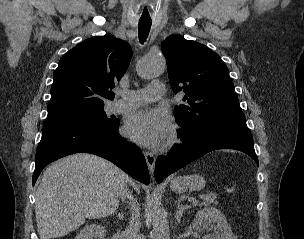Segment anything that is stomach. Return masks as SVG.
Wrapping results in <instances>:
<instances>
[{"label": "stomach", "mask_w": 304, "mask_h": 239, "mask_svg": "<svg viewBox=\"0 0 304 239\" xmlns=\"http://www.w3.org/2000/svg\"><path fill=\"white\" fill-rule=\"evenodd\" d=\"M205 179L198 175H185L177 176L171 181V188L176 193H183L186 191H196L201 190L205 186Z\"/></svg>", "instance_id": "obj_1"}]
</instances>
